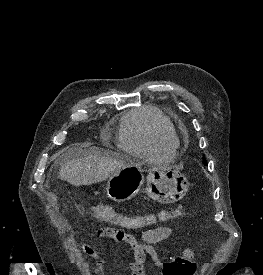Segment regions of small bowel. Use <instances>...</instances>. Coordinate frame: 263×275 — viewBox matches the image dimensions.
<instances>
[{"label": "small bowel", "instance_id": "c3829d8e", "mask_svg": "<svg viewBox=\"0 0 263 275\" xmlns=\"http://www.w3.org/2000/svg\"><path fill=\"white\" fill-rule=\"evenodd\" d=\"M115 233V228L107 227L100 229L97 235L99 237H109L119 242H125L130 246L133 254V261L130 263L131 275H146L144 266L148 259L160 271L161 275H168L166 269L171 259L160 253L154 245L164 241L171 235V227L158 226L150 228L141 234L140 239H136L132 235H127L124 239L117 240ZM82 250L94 260V272L100 274L103 268V261L97 251L86 243L82 244ZM194 270L195 266L191 271L187 272L186 275H193Z\"/></svg>", "mask_w": 263, "mask_h": 275}]
</instances>
